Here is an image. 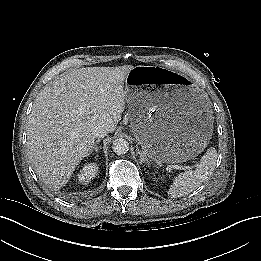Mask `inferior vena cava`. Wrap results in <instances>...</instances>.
Returning a JSON list of instances; mask_svg holds the SVG:
<instances>
[{"instance_id":"inferior-vena-cava-1","label":"inferior vena cava","mask_w":261,"mask_h":261,"mask_svg":"<svg viewBox=\"0 0 261 261\" xmlns=\"http://www.w3.org/2000/svg\"><path fill=\"white\" fill-rule=\"evenodd\" d=\"M92 132L96 138H103L108 134V129L104 125H97L93 127Z\"/></svg>"}]
</instances>
